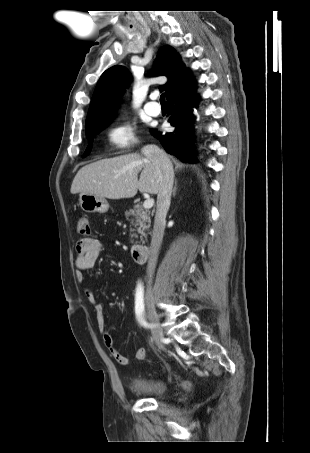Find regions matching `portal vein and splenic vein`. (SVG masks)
<instances>
[{"label":"portal vein and splenic vein","mask_w":310,"mask_h":453,"mask_svg":"<svg viewBox=\"0 0 310 453\" xmlns=\"http://www.w3.org/2000/svg\"><path fill=\"white\" fill-rule=\"evenodd\" d=\"M153 205H154V200L152 198H149L144 201L143 207L145 209H151L153 207Z\"/></svg>","instance_id":"obj_1"}]
</instances>
